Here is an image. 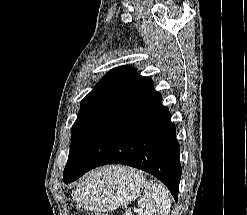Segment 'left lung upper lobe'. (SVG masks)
I'll return each instance as SVG.
<instances>
[{"mask_svg":"<svg viewBox=\"0 0 247 215\" xmlns=\"http://www.w3.org/2000/svg\"><path fill=\"white\" fill-rule=\"evenodd\" d=\"M150 81L151 78L137 74L129 66L108 72L81 101L79 115L71 128L68 161L84 140L102 137Z\"/></svg>","mask_w":247,"mask_h":215,"instance_id":"5c2ea615","label":"left lung upper lobe"}]
</instances>
